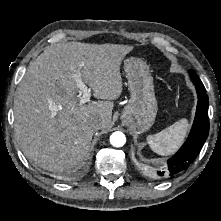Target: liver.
Instances as JSON below:
<instances>
[{"mask_svg": "<svg viewBox=\"0 0 221 221\" xmlns=\"http://www.w3.org/2000/svg\"><path fill=\"white\" fill-rule=\"evenodd\" d=\"M133 46L68 42L47 47L20 81L14 101V130L22 152L41 168L57 172L75 167L93 137L89 121L111 125L122 93L121 62ZM99 101L80 104L74 76Z\"/></svg>", "mask_w": 221, "mask_h": 221, "instance_id": "6515ba94", "label": "liver"}]
</instances>
